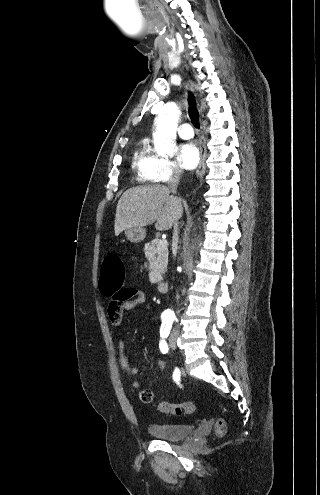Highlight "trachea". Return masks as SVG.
I'll list each match as a JSON object with an SVG mask.
<instances>
[{
  "instance_id": "1",
  "label": "trachea",
  "mask_w": 320,
  "mask_h": 495,
  "mask_svg": "<svg viewBox=\"0 0 320 495\" xmlns=\"http://www.w3.org/2000/svg\"><path fill=\"white\" fill-rule=\"evenodd\" d=\"M189 117L196 128L200 127V117L196 108V102L191 92L188 93Z\"/></svg>"
}]
</instances>
